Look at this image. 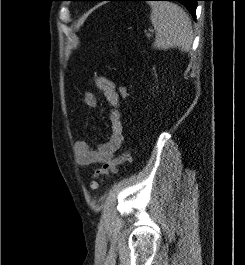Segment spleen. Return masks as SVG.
Returning <instances> with one entry per match:
<instances>
[{
    "label": "spleen",
    "instance_id": "3e777b00",
    "mask_svg": "<svg viewBox=\"0 0 245 265\" xmlns=\"http://www.w3.org/2000/svg\"><path fill=\"white\" fill-rule=\"evenodd\" d=\"M150 20L155 30L156 49L178 47L188 52L193 42L192 24L188 14L177 4L167 1L149 2Z\"/></svg>",
    "mask_w": 245,
    "mask_h": 265
}]
</instances>
